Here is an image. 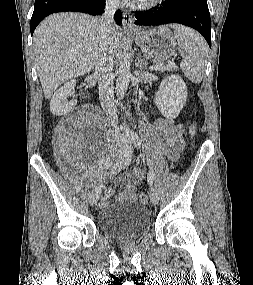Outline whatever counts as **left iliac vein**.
Masks as SVG:
<instances>
[{
    "label": "left iliac vein",
    "instance_id": "obj_1",
    "mask_svg": "<svg viewBox=\"0 0 253 285\" xmlns=\"http://www.w3.org/2000/svg\"><path fill=\"white\" fill-rule=\"evenodd\" d=\"M125 151H126V155H128L129 153L132 154L133 152L132 147L129 145L126 146ZM149 196H150L151 203L153 205H156L158 203L159 198H158V194L155 188L153 187L150 188Z\"/></svg>",
    "mask_w": 253,
    "mask_h": 285
}]
</instances>
